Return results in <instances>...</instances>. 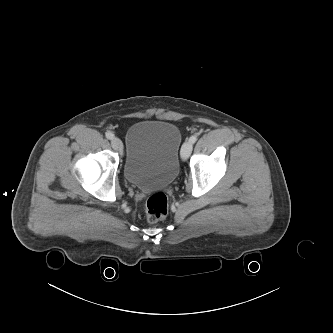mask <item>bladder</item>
<instances>
[{"label":"bladder","mask_w":333,"mask_h":333,"mask_svg":"<svg viewBox=\"0 0 333 333\" xmlns=\"http://www.w3.org/2000/svg\"><path fill=\"white\" fill-rule=\"evenodd\" d=\"M182 133L178 125L164 120H143L126 134L123 173L141 190L169 186L179 172Z\"/></svg>","instance_id":"31cf9c89"}]
</instances>
